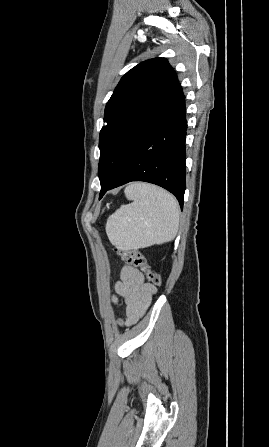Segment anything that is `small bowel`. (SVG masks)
I'll return each mask as SVG.
<instances>
[{
    "mask_svg": "<svg viewBox=\"0 0 269 447\" xmlns=\"http://www.w3.org/2000/svg\"><path fill=\"white\" fill-rule=\"evenodd\" d=\"M115 291L117 295L112 296L113 303L119 304L118 297L125 303L126 319L121 323L131 324L138 321L149 308L157 289L145 281L143 273L138 268L124 264L120 269Z\"/></svg>",
    "mask_w": 269,
    "mask_h": 447,
    "instance_id": "c3829d8e",
    "label": "small bowel"
}]
</instances>
